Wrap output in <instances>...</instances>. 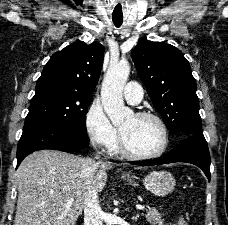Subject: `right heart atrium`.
<instances>
[{
  "label": "right heart atrium",
  "mask_w": 228,
  "mask_h": 225,
  "mask_svg": "<svg viewBox=\"0 0 228 225\" xmlns=\"http://www.w3.org/2000/svg\"><path fill=\"white\" fill-rule=\"evenodd\" d=\"M85 131L93 144L108 148L119 139V131L111 124L102 106L93 102L84 115Z\"/></svg>",
  "instance_id": "1"
}]
</instances>
